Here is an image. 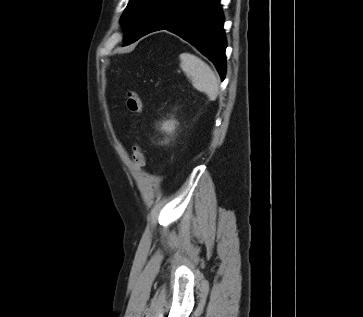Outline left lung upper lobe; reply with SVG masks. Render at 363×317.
Returning a JSON list of instances; mask_svg holds the SVG:
<instances>
[{
  "mask_svg": "<svg viewBox=\"0 0 363 317\" xmlns=\"http://www.w3.org/2000/svg\"><path fill=\"white\" fill-rule=\"evenodd\" d=\"M158 0H130L120 23L124 27V44L137 40L145 31Z\"/></svg>",
  "mask_w": 363,
  "mask_h": 317,
  "instance_id": "5c2ea615",
  "label": "left lung upper lobe"
}]
</instances>
